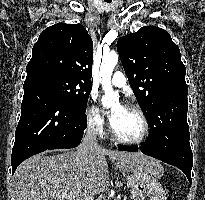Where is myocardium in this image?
<instances>
[{"instance_id":"myocardium-1","label":"myocardium","mask_w":205,"mask_h":200,"mask_svg":"<svg viewBox=\"0 0 205 200\" xmlns=\"http://www.w3.org/2000/svg\"><path fill=\"white\" fill-rule=\"evenodd\" d=\"M124 108L135 112L140 117V119L142 121L141 134L139 135V137H137L135 139H127V138L121 137L119 134H117L115 132V130L113 129L112 124H111L110 125L111 135L115 141L122 143V144H127V145L141 144L142 142L145 141V139L147 138V136L149 134L150 125H149L148 118H147L146 114L144 113V111L140 107H138L134 104H127Z\"/></svg>"}]
</instances>
